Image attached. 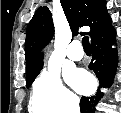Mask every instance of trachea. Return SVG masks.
<instances>
[{
	"label": "trachea",
	"mask_w": 121,
	"mask_h": 113,
	"mask_svg": "<svg viewBox=\"0 0 121 113\" xmlns=\"http://www.w3.org/2000/svg\"><path fill=\"white\" fill-rule=\"evenodd\" d=\"M82 45L84 50H91L88 36L83 37Z\"/></svg>",
	"instance_id": "3493384b"
}]
</instances>
